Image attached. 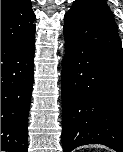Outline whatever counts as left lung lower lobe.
I'll use <instances>...</instances> for the list:
<instances>
[{
  "label": "left lung lower lobe",
  "instance_id": "0a47b994",
  "mask_svg": "<svg viewBox=\"0 0 123 152\" xmlns=\"http://www.w3.org/2000/svg\"><path fill=\"white\" fill-rule=\"evenodd\" d=\"M63 152L102 144L123 152V52L115 23L87 5L64 16Z\"/></svg>",
  "mask_w": 123,
  "mask_h": 152
}]
</instances>
